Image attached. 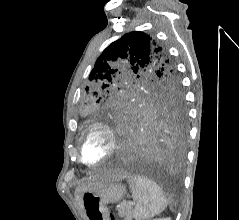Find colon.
<instances>
[{"label":"colon","instance_id":"1","mask_svg":"<svg viewBox=\"0 0 239 220\" xmlns=\"http://www.w3.org/2000/svg\"><path fill=\"white\" fill-rule=\"evenodd\" d=\"M91 220H101V219L96 216H91Z\"/></svg>","mask_w":239,"mask_h":220}]
</instances>
